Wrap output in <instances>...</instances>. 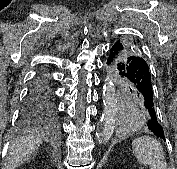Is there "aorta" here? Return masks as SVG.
I'll return each instance as SVG.
<instances>
[{"label":"aorta","mask_w":177,"mask_h":169,"mask_svg":"<svg viewBox=\"0 0 177 169\" xmlns=\"http://www.w3.org/2000/svg\"><path fill=\"white\" fill-rule=\"evenodd\" d=\"M103 103V114L98 132L99 142L110 140L117 122V98L115 87L111 80H106L103 86Z\"/></svg>","instance_id":"1"}]
</instances>
